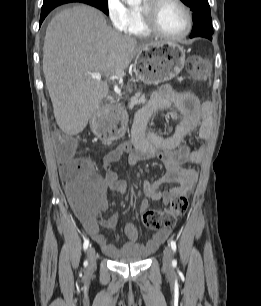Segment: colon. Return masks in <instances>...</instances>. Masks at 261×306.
<instances>
[{"instance_id": "5ec220e1", "label": "colon", "mask_w": 261, "mask_h": 306, "mask_svg": "<svg viewBox=\"0 0 261 306\" xmlns=\"http://www.w3.org/2000/svg\"><path fill=\"white\" fill-rule=\"evenodd\" d=\"M186 69L192 84L202 82L209 74L208 62L200 57L189 58L186 62ZM97 120L102 124L100 132L105 138L116 139L122 134L124 120L120 108H115ZM72 146L73 142L70 139H64L60 143L62 157L67 161L61 174L66 182L72 204L80 207L94 196L89 183L91 169L86 161L72 157ZM187 209V197L177 195L168 210H145L142 214V222L145 227L152 230L170 228L175 225L178 218L186 213Z\"/></svg>"}]
</instances>
